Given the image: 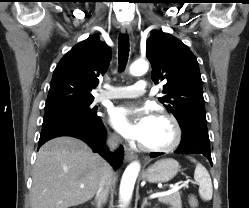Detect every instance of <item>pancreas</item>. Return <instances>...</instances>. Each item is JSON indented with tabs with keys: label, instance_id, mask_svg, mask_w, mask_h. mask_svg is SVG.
I'll use <instances>...</instances> for the list:
<instances>
[{
	"label": "pancreas",
	"instance_id": "1",
	"mask_svg": "<svg viewBox=\"0 0 249 208\" xmlns=\"http://www.w3.org/2000/svg\"><path fill=\"white\" fill-rule=\"evenodd\" d=\"M158 200L164 204L171 205L172 208L182 207L181 194L179 191H176L170 195L161 196Z\"/></svg>",
	"mask_w": 249,
	"mask_h": 208
}]
</instances>
